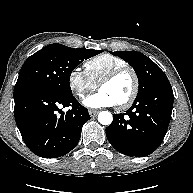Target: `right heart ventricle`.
<instances>
[{"label": "right heart ventricle", "instance_id": "e07e8e85", "mask_svg": "<svg viewBox=\"0 0 193 193\" xmlns=\"http://www.w3.org/2000/svg\"><path fill=\"white\" fill-rule=\"evenodd\" d=\"M127 65L128 63L124 59L104 53L86 60L84 69L88 77L97 85L106 74Z\"/></svg>", "mask_w": 193, "mask_h": 193}]
</instances>
